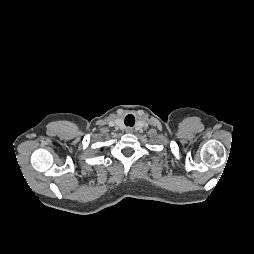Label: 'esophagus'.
<instances>
[{
	"mask_svg": "<svg viewBox=\"0 0 254 254\" xmlns=\"http://www.w3.org/2000/svg\"><path fill=\"white\" fill-rule=\"evenodd\" d=\"M126 132H132V129L131 128H127Z\"/></svg>",
	"mask_w": 254,
	"mask_h": 254,
	"instance_id": "obj_1",
	"label": "esophagus"
}]
</instances>
